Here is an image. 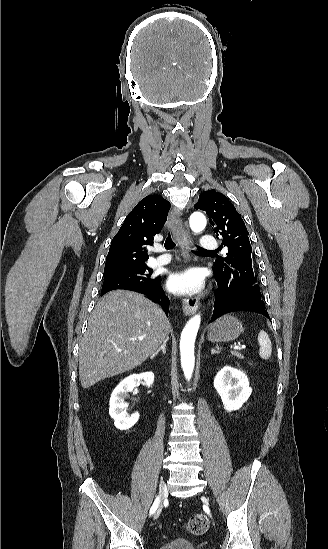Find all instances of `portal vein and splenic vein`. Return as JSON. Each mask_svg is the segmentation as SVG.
<instances>
[{
  "mask_svg": "<svg viewBox=\"0 0 328 549\" xmlns=\"http://www.w3.org/2000/svg\"><path fill=\"white\" fill-rule=\"evenodd\" d=\"M144 337H138V341H143ZM136 341V339H135ZM233 349H235V351H241V350H244V345H241V346H237L235 345V347H233Z\"/></svg>",
  "mask_w": 328,
  "mask_h": 549,
  "instance_id": "portal-vein-and-splenic-vein-1",
  "label": "portal vein and splenic vein"
}]
</instances>
